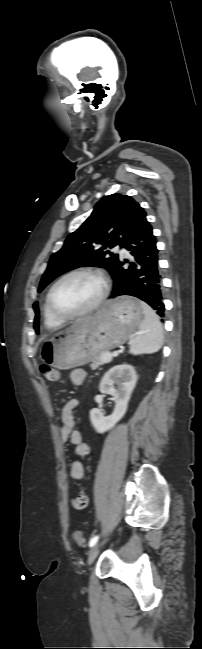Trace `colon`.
Wrapping results in <instances>:
<instances>
[{"label": "colon", "instance_id": "obj_1", "mask_svg": "<svg viewBox=\"0 0 202 649\" xmlns=\"http://www.w3.org/2000/svg\"><path fill=\"white\" fill-rule=\"evenodd\" d=\"M40 372L42 376L50 382H56L59 380L60 377L59 371L51 366L45 364L41 365ZM73 539L79 547H84L86 544V539L84 538L80 530L74 532Z\"/></svg>", "mask_w": 202, "mask_h": 649}]
</instances>
